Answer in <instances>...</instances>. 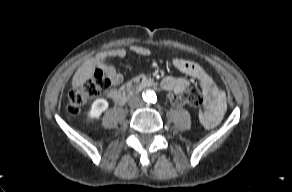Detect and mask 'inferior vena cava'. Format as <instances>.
Listing matches in <instances>:
<instances>
[{"label": "inferior vena cava", "instance_id": "1", "mask_svg": "<svg viewBox=\"0 0 292 192\" xmlns=\"http://www.w3.org/2000/svg\"><path fill=\"white\" fill-rule=\"evenodd\" d=\"M144 104L143 100L139 96H134L129 100V106L133 108L142 107Z\"/></svg>", "mask_w": 292, "mask_h": 192}]
</instances>
